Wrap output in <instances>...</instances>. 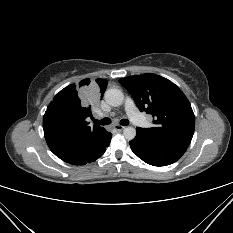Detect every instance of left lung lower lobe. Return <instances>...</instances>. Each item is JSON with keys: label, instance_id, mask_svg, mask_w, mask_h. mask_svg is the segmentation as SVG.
Returning <instances> with one entry per match:
<instances>
[{"label": "left lung lower lobe", "instance_id": "obj_1", "mask_svg": "<svg viewBox=\"0 0 233 233\" xmlns=\"http://www.w3.org/2000/svg\"><path fill=\"white\" fill-rule=\"evenodd\" d=\"M137 130L136 137L129 142L131 150L147 164L166 166L176 162L186 151L184 148L160 144Z\"/></svg>", "mask_w": 233, "mask_h": 233}]
</instances>
